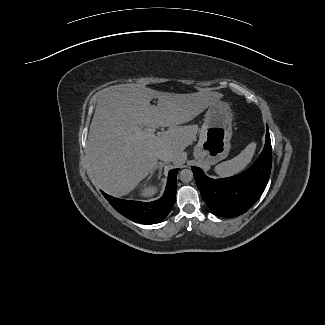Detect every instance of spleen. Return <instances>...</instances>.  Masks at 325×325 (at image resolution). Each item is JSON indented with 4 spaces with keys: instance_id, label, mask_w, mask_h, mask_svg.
Returning <instances> with one entry per match:
<instances>
[{
    "instance_id": "3e777b00",
    "label": "spleen",
    "mask_w": 325,
    "mask_h": 325,
    "mask_svg": "<svg viewBox=\"0 0 325 325\" xmlns=\"http://www.w3.org/2000/svg\"><path fill=\"white\" fill-rule=\"evenodd\" d=\"M255 150L256 143L252 142L236 157L218 164L215 167V172L221 177H228L241 172L251 162Z\"/></svg>"
}]
</instances>
